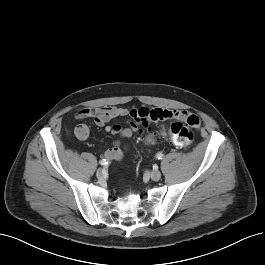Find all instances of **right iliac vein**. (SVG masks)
<instances>
[{
  "label": "right iliac vein",
  "instance_id": "63e3f726",
  "mask_svg": "<svg viewBox=\"0 0 265 265\" xmlns=\"http://www.w3.org/2000/svg\"><path fill=\"white\" fill-rule=\"evenodd\" d=\"M103 170L102 169H98L97 172H96V176L99 178V179H102L103 178Z\"/></svg>",
  "mask_w": 265,
  "mask_h": 265
}]
</instances>
